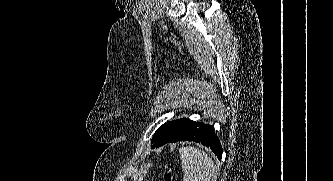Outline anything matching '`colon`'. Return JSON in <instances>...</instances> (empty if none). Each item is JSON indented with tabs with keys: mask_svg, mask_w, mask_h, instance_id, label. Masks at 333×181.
<instances>
[{
	"mask_svg": "<svg viewBox=\"0 0 333 181\" xmlns=\"http://www.w3.org/2000/svg\"><path fill=\"white\" fill-rule=\"evenodd\" d=\"M164 181H174L175 177L170 170H167L163 176Z\"/></svg>",
	"mask_w": 333,
	"mask_h": 181,
	"instance_id": "colon-1",
	"label": "colon"
}]
</instances>
